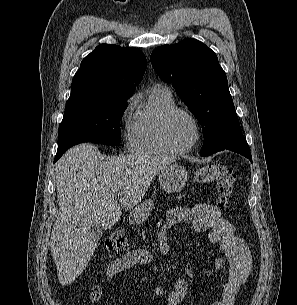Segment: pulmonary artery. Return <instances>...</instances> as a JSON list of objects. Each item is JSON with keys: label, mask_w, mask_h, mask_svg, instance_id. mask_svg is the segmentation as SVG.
Returning a JSON list of instances; mask_svg holds the SVG:
<instances>
[{"label": "pulmonary artery", "mask_w": 297, "mask_h": 305, "mask_svg": "<svg viewBox=\"0 0 297 305\" xmlns=\"http://www.w3.org/2000/svg\"><path fill=\"white\" fill-rule=\"evenodd\" d=\"M167 90H169L170 91V88L169 87H167V86H164Z\"/></svg>", "instance_id": "obj_1"}]
</instances>
